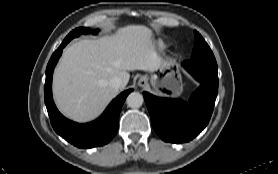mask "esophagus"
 <instances>
[{
  "mask_svg": "<svg viewBox=\"0 0 278 174\" xmlns=\"http://www.w3.org/2000/svg\"><path fill=\"white\" fill-rule=\"evenodd\" d=\"M137 84L141 88L147 87V85H148V78L146 76L140 77V79L138 80Z\"/></svg>",
  "mask_w": 278,
  "mask_h": 174,
  "instance_id": "esophagus-1",
  "label": "esophagus"
}]
</instances>
